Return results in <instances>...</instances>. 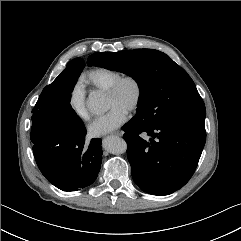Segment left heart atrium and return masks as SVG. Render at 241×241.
Returning <instances> with one entry per match:
<instances>
[{
	"instance_id": "39dd6f15",
	"label": "left heart atrium",
	"mask_w": 241,
	"mask_h": 241,
	"mask_svg": "<svg viewBox=\"0 0 241 241\" xmlns=\"http://www.w3.org/2000/svg\"><path fill=\"white\" fill-rule=\"evenodd\" d=\"M127 119V111L121 107L114 106L108 113L97 118L89 126V134L92 137H100L109 134L119 128Z\"/></svg>"
}]
</instances>
